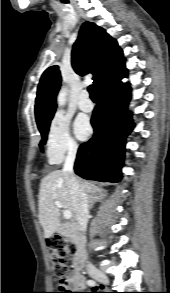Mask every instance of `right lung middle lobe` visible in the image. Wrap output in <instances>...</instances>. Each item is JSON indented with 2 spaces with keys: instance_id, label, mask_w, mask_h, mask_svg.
<instances>
[{
  "instance_id": "1",
  "label": "right lung middle lobe",
  "mask_w": 170,
  "mask_h": 293,
  "mask_svg": "<svg viewBox=\"0 0 170 293\" xmlns=\"http://www.w3.org/2000/svg\"><path fill=\"white\" fill-rule=\"evenodd\" d=\"M48 130H49V125L44 126L43 128L39 129L41 135H42V140L39 144L40 148H42V146L45 144L46 139H47V134H48Z\"/></svg>"
}]
</instances>
